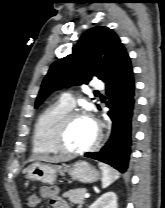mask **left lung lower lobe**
<instances>
[{
  "instance_id": "0a47b994",
  "label": "left lung lower lobe",
  "mask_w": 165,
  "mask_h": 208,
  "mask_svg": "<svg viewBox=\"0 0 165 208\" xmlns=\"http://www.w3.org/2000/svg\"><path fill=\"white\" fill-rule=\"evenodd\" d=\"M105 84L109 97L106 105L111 109L108 115L113 121L112 134L110 141L99 152L86 153L85 157L99 160L125 173L129 168L137 122L134 75L128 55Z\"/></svg>"
}]
</instances>
